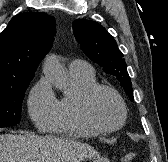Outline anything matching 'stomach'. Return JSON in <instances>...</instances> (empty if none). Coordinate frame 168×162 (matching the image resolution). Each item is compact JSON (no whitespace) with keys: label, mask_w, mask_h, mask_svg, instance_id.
<instances>
[{"label":"stomach","mask_w":168,"mask_h":162,"mask_svg":"<svg viewBox=\"0 0 168 162\" xmlns=\"http://www.w3.org/2000/svg\"><path fill=\"white\" fill-rule=\"evenodd\" d=\"M90 162H110V161L106 158L95 157V158L91 159Z\"/></svg>","instance_id":"0dacf381"}]
</instances>
